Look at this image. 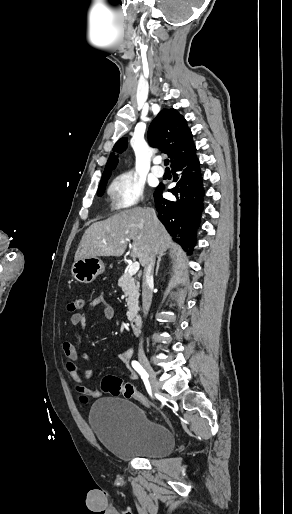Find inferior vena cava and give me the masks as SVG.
Instances as JSON below:
<instances>
[{"mask_svg": "<svg viewBox=\"0 0 292 514\" xmlns=\"http://www.w3.org/2000/svg\"><path fill=\"white\" fill-rule=\"evenodd\" d=\"M152 210V208H151ZM152 216H155V212L153 210ZM156 218V216H155ZM154 262L155 256L152 254L151 258H149V262H147L144 268V276L142 282V302H143V314L147 316L149 312V308L152 302V292L151 286L153 284V270H154ZM143 350V338H141V342L139 344V352Z\"/></svg>", "mask_w": 292, "mask_h": 514, "instance_id": "1", "label": "inferior vena cava"}]
</instances>
